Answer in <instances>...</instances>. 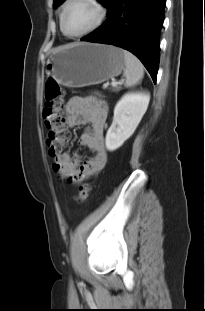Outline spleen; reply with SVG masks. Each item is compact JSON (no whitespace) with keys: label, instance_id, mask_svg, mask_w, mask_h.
I'll list each match as a JSON object with an SVG mask.
<instances>
[{"label":"spleen","instance_id":"3e777b00","mask_svg":"<svg viewBox=\"0 0 205 311\" xmlns=\"http://www.w3.org/2000/svg\"><path fill=\"white\" fill-rule=\"evenodd\" d=\"M124 59H125V86L132 87L139 83L143 78L144 68L139 59L130 53L129 51L123 50Z\"/></svg>","mask_w":205,"mask_h":311}]
</instances>
